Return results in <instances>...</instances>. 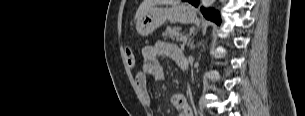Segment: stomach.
<instances>
[{"mask_svg": "<svg viewBox=\"0 0 305 116\" xmlns=\"http://www.w3.org/2000/svg\"><path fill=\"white\" fill-rule=\"evenodd\" d=\"M197 20L195 9L186 3L165 8L152 6L139 18L136 29L141 36H148L166 21L194 23Z\"/></svg>", "mask_w": 305, "mask_h": 116, "instance_id": "1", "label": "stomach"}]
</instances>
